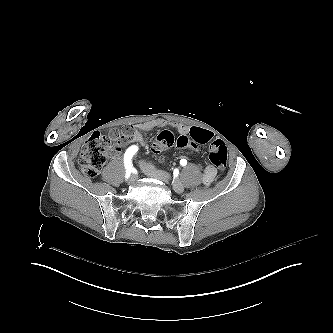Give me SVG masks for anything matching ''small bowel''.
<instances>
[{
  "instance_id": "obj_1",
  "label": "small bowel",
  "mask_w": 333,
  "mask_h": 333,
  "mask_svg": "<svg viewBox=\"0 0 333 333\" xmlns=\"http://www.w3.org/2000/svg\"><path fill=\"white\" fill-rule=\"evenodd\" d=\"M167 127H172V122H166L162 119H157V120H153V121H149V122H144V123H140L136 126H134L132 129V135L129 139V143L131 147H134L138 144H143L145 143V138L143 136V132H149L153 129L156 128H161L166 126ZM175 129L179 130L182 128L183 132L180 136L181 138L185 139V138H190V137H199V138H211V133L208 130L202 129V128H191L188 129L187 125H182L177 123L175 124ZM216 168L214 166H207L205 168L204 174H203V178L202 181L205 185H210L216 178Z\"/></svg>"
}]
</instances>
